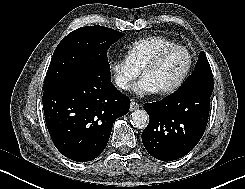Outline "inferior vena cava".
I'll return each mask as SVG.
<instances>
[{
	"label": "inferior vena cava",
	"mask_w": 245,
	"mask_h": 189,
	"mask_svg": "<svg viewBox=\"0 0 245 189\" xmlns=\"http://www.w3.org/2000/svg\"><path fill=\"white\" fill-rule=\"evenodd\" d=\"M115 81H116V84H117L120 88H122V89H127V88H128L127 82L124 81L123 79H121V78H116Z\"/></svg>",
	"instance_id": "obj_1"
}]
</instances>
